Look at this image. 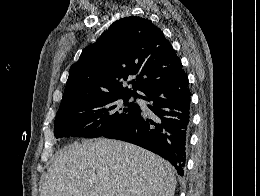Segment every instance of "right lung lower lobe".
<instances>
[{
    "mask_svg": "<svg viewBox=\"0 0 260 196\" xmlns=\"http://www.w3.org/2000/svg\"><path fill=\"white\" fill-rule=\"evenodd\" d=\"M136 97L148 102L150 114L144 113L104 137L150 150L168 160L183 176L191 122V93L187 75L182 70L173 79L155 84Z\"/></svg>",
    "mask_w": 260,
    "mask_h": 196,
    "instance_id": "obj_1",
    "label": "right lung lower lobe"
}]
</instances>
